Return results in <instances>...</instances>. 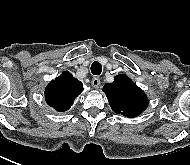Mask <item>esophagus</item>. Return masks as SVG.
I'll return each mask as SVG.
<instances>
[{"mask_svg": "<svg viewBox=\"0 0 190 165\" xmlns=\"http://www.w3.org/2000/svg\"><path fill=\"white\" fill-rule=\"evenodd\" d=\"M91 84H92L93 88L98 89L101 84L100 79L98 77H94L91 81Z\"/></svg>", "mask_w": 190, "mask_h": 165, "instance_id": "1", "label": "esophagus"}]
</instances>
